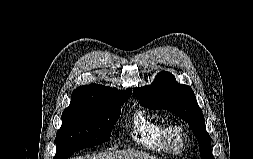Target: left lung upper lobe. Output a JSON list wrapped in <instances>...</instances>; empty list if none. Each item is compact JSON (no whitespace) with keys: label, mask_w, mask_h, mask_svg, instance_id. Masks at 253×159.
<instances>
[{"label":"left lung upper lobe","mask_w":253,"mask_h":159,"mask_svg":"<svg viewBox=\"0 0 253 159\" xmlns=\"http://www.w3.org/2000/svg\"><path fill=\"white\" fill-rule=\"evenodd\" d=\"M134 95L142 106L150 110H169L190 123L199 142L201 158L214 159L204 116L190 86L178 83L171 73L162 71L151 85L134 88Z\"/></svg>","instance_id":"1"}]
</instances>
